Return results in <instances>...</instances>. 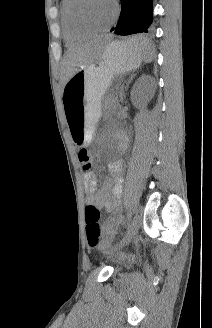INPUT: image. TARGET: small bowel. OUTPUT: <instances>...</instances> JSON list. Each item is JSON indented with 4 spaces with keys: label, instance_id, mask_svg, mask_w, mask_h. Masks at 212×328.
<instances>
[{
    "label": "small bowel",
    "instance_id": "1",
    "mask_svg": "<svg viewBox=\"0 0 212 328\" xmlns=\"http://www.w3.org/2000/svg\"><path fill=\"white\" fill-rule=\"evenodd\" d=\"M109 171L112 175L111 189L104 187L98 188L97 180L91 171H85L83 181L87 192L89 193L88 202L96 208H104L110 213L103 222V232L107 240L112 239L119 230L122 222L121 195H122V164L120 161H114L109 164Z\"/></svg>",
    "mask_w": 212,
    "mask_h": 328
}]
</instances>
